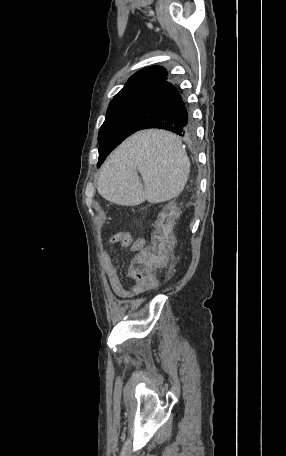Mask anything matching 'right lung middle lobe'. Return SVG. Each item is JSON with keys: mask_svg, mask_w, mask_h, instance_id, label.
Segmentation results:
<instances>
[{"mask_svg": "<svg viewBox=\"0 0 286 456\" xmlns=\"http://www.w3.org/2000/svg\"><path fill=\"white\" fill-rule=\"evenodd\" d=\"M127 116V108L123 99L110 102L106 119L98 135L100 147L97 167L104 162L108 154L120 142L131 135V127Z\"/></svg>", "mask_w": 286, "mask_h": 456, "instance_id": "1", "label": "right lung middle lobe"}]
</instances>
